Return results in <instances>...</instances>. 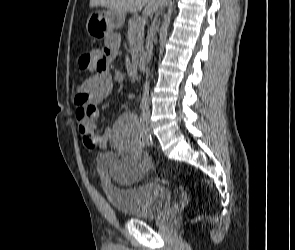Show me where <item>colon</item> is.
Returning <instances> with one entry per match:
<instances>
[{"mask_svg":"<svg viewBox=\"0 0 295 250\" xmlns=\"http://www.w3.org/2000/svg\"><path fill=\"white\" fill-rule=\"evenodd\" d=\"M93 64V58L90 53H84L79 58V67L82 69H89ZM89 110L86 107H78L77 108V117L79 121H83Z\"/></svg>","mask_w":295,"mask_h":250,"instance_id":"5ec220e1","label":"colon"}]
</instances>
